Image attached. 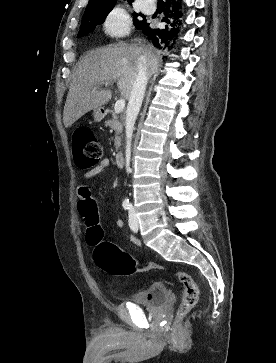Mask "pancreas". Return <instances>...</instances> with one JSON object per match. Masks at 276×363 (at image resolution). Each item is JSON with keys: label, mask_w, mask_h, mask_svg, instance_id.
Masks as SVG:
<instances>
[{"label": "pancreas", "mask_w": 276, "mask_h": 363, "mask_svg": "<svg viewBox=\"0 0 276 363\" xmlns=\"http://www.w3.org/2000/svg\"><path fill=\"white\" fill-rule=\"evenodd\" d=\"M105 124L115 131L114 145L115 150L118 151L121 146V134L123 132L124 116H121L119 119L118 115L115 112H112V118L107 120Z\"/></svg>", "instance_id": "pancreas-1"}]
</instances>
